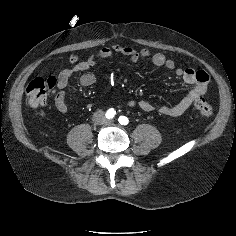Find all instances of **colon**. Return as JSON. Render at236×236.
Instances as JSON below:
<instances>
[{
  "label": "colon",
  "mask_w": 236,
  "mask_h": 236,
  "mask_svg": "<svg viewBox=\"0 0 236 236\" xmlns=\"http://www.w3.org/2000/svg\"><path fill=\"white\" fill-rule=\"evenodd\" d=\"M57 85V78L54 76L37 77L33 79L26 88L28 103L33 108L46 104L50 91ZM194 108L205 119L213 114V109L206 99L199 97L194 102Z\"/></svg>",
  "instance_id": "obj_1"
}]
</instances>
